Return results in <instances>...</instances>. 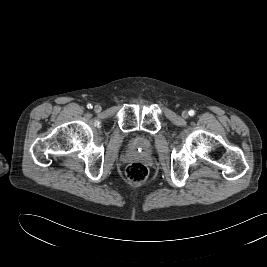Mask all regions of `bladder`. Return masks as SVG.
<instances>
[{
	"label": "bladder",
	"instance_id": "bladder-1",
	"mask_svg": "<svg viewBox=\"0 0 267 267\" xmlns=\"http://www.w3.org/2000/svg\"><path fill=\"white\" fill-rule=\"evenodd\" d=\"M132 148L135 150H140L142 152H148L151 148L150 142L145 138H135L132 141Z\"/></svg>",
	"mask_w": 267,
	"mask_h": 267
}]
</instances>
